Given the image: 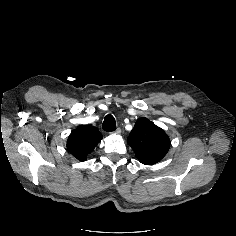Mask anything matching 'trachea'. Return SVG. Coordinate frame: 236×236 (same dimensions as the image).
I'll return each mask as SVG.
<instances>
[{"label": "trachea", "instance_id": "3493384b", "mask_svg": "<svg viewBox=\"0 0 236 236\" xmlns=\"http://www.w3.org/2000/svg\"><path fill=\"white\" fill-rule=\"evenodd\" d=\"M102 128L104 131L112 132L116 130V121L111 114L105 116Z\"/></svg>", "mask_w": 236, "mask_h": 236}]
</instances>
